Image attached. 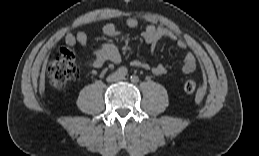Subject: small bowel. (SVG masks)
<instances>
[{
    "mask_svg": "<svg viewBox=\"0 0 259 156\" xmlns=\"http://www.w3.org/2000/svg\"><path fill=\"white\" fill-rule=\"evenodd\" d=\"M126 25L129 28H137L139 23L135 18L129 17L126 19ZM99 34L104 38H116L120 36L118 28L112 24H105ZM142 37L146 42L151 45V51L154 52L158 42L161 39H170L177 42V46L180 49L186 48V43L182 39H178L177 36L165 27H157L153 24H149L142 32ZM88 42V36L85 32L79 31L76 34L68 33L65 36V43L69 47L75 46L77 43L86 46ZM94 60L88 63L90 67L101 68L107 62L119 63L121 61V55L118 48L110 42L103 43L94 51ZM131 66L135 68H142L152 72L155 75H162L166 73V67L161 63H146L139 60H133ZM196 68V58L193 53L189 52L185 55L181 70L184 74L192 73Z\"/></svg>",
    "mask_w": 259,
    "mask_h": 156,
    "instance_id": "1",
    "label": "small bowel"
}]
</instances>
